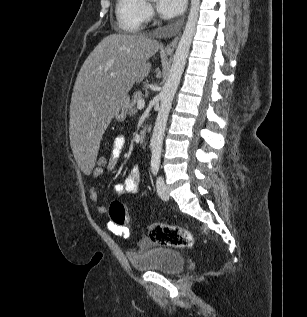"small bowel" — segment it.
Instances as JSON below:
<instances>
[{"label": "small bowel", "mask_w": 307, "mask_h": 317, "mask_svg": "<svg viewBox=\"0 0 307 317\" xmlns=\"http://www.w3.org/2000/svg\"><path fill=\"white\" fill-rule=\"evenodd\" d=\"M125 145H126L125 137L123 135H118L114 139L111 154L108 159V163L106 167L94 168L91 171V179H92L93 185L90 188V199L95 204L97 213L101 215H104L107 213V208L103 204H100L98 202V191L96 189L95 183L103 176L105 171H112L115 169V167L117 166L123 154ZM140 177H141V174H140L139 167L137 166L133 167L130 173L128 174V176L126 177V179L122 183H119L114 187V193L120 197L126 194L137 193L139 190V185H140ZM107 226H108V229L115 235L121 236L123 238H128L130 235L129 230L126 227L118 226L114 224L113 222H109ZM143 246L144 245L142 244V247Z\"/></svg>", "instance_id": "obj_1"}]
</instances>
